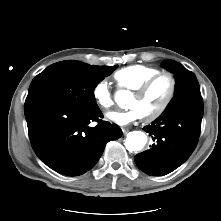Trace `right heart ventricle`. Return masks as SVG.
Returning <instances> with one entry per match:
<instances>
[{
  "mask_svg": "<svg viewBox=\"0 0 221 221\" xmlns=\"http://www.w3.org/2000/svg\"><path fill=\"white\" fill-rule=\"evenodd\" d=\"M155 67L144 65H131L125 67L114 74L119 87L134 91L150 77L159 73Z\"/></svg>",
  "mask_w": 221,
  "mask_h": 221,
  "instance_id": "right-heart-ventricle-1",
  "label": "right heart ventricle"
}]
</instances>
